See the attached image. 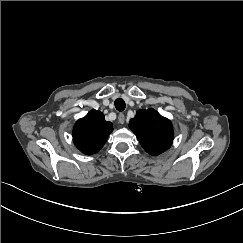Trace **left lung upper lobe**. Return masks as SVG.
<instances>
[{
    "instance_id": "obj_1",
    "label": "left lung upper lobe",
    "mask_w": 243,
    "mask_h": 243,
    "mask_svg": "<svg viewBox=\"0 0 243 243\" xmlns=\"http://www.w3.org/2000/svg\"><path fill=\"white\" fill-rule=\"evenodd\" d=\"M129 127L150 155L157 156L163 153L173 142L171 122L152 108L137 111Z\"/></svg>"
}]
</instances>
